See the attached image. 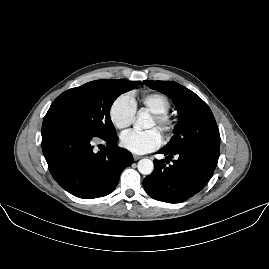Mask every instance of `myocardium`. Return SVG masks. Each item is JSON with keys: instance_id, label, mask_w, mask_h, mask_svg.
Returning <instances> with one entry per match:
<instances>
[{"instance_id": "myocardium-1", "label": "myocardium", "mask_w": 269, "mask_h": 269, "mask_svg": "<svg viewBox=\"0 0 269 269\" xmlns=\"http://www.w3.org/2000/svg\"><path fill=\"white\" fill-rule=\"evenodd\" d=\"M153 117L157 120L161 128L164 130V142L168 143L174 137L178 120L176 117L172 116L168 112L164 113H153Z\"/></svg>"}]
</instances>
